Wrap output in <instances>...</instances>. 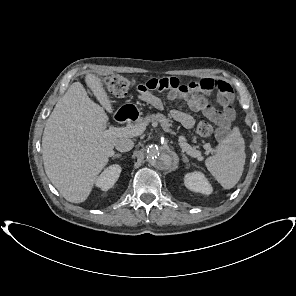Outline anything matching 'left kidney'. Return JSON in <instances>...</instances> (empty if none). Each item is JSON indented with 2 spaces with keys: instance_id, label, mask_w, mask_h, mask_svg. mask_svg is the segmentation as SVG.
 I'll return each mask as SVG.
<instances>
[{
  "instance_id": "obj_1",
  "label": "left kidney",
  "mask_w": 296,
  "mask_h": 296,
  "mask_svg": "<svg viewBox=\"0 0 296 296\" xmlns=\"http://www.w3.org/2000/svg\"><path fill=\"white\" fill-rule=\"evenodd\" d=\"M184 184L189 190L202 194H211L213 190L211 184L201 172L186 174Z\"/></svg>"
}]
</instances>
